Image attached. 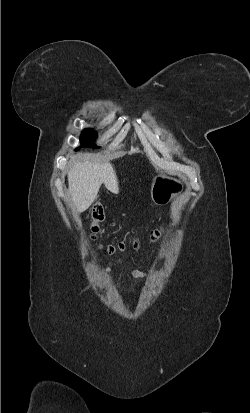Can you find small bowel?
Masks as SVG:
<instances>
[{
  "instance_id": "1",
  "label": "small bowel",
  "mask_w": 250,
  "mask_h": 413,
  "mask_svg": "<svg viewBox=\"0 0 250 413\" xmlns=\"http://www.w3.org/2000/svg\"><path fill=\"white\" fill-rule=\"evenodd\" d=\"M118 263L122 264L123 261L119 259ZM111 267H112V264H109V266L106 269L107 273L110 272ZM131 275L134 278H144L146 276V273L144 271H141V270L133 269V270H131Z\"/></svg>"
}]
</instances>
